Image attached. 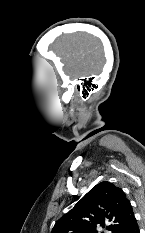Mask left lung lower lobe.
Segmentation results:
<instances>
[{"mask_svg": "<svg viewBox=\"0 0 145 233\" xmlns=\"http://www.w3.org/2000/svg\"><path fill=\"white\" fill-rule=\"evenodd\" d=\"M127 233H140L137 221H135Z\"/></svg>", "mask_w": 145, "mask_h": 233, "instance_id": "0a47b994", "label": "left lung lower lobe"}]
</instances>
